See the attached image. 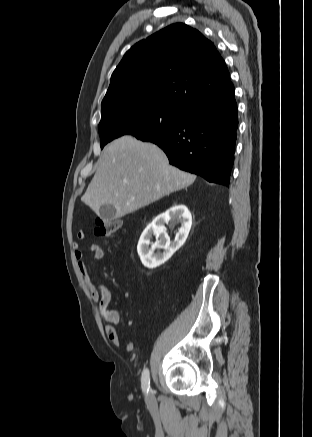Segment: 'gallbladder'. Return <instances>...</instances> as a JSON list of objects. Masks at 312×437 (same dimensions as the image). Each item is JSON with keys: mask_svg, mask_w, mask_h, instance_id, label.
<instances>
[{"mask_svg": "<svg viewBox=\"0 0 312 437\" xmlns=\"http://www.w3.org/2000/svg\"><path fill=\"white\" fill-rule=\"evenodd\" d=\"M116 210L110 204H104L99 209V217L104 221L113 220L115 218Z\"/></svg>", "mask_w": 312, "mask_h": 437, "instance_id": "obj_1", "label": "gallbladder"}]
</instances>
